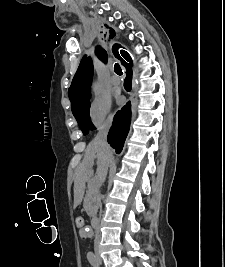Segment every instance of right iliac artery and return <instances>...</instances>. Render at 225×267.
<instances>
[{
  "mask_svg": "<svg viewBox=\"0 0 225 267\" xmlns=\"http://www.w3.org/2000/svg\"><path fill=\"white\" fill-rule=\"evenodd\" d=\"M87 259L93 267H99V263L93 252H88Z\"/></svg>",
  "mask_w": 225,
  "mask_h": 267,
  "instance_id": "82829eb1",
  "label": "right iliac artery"
}]
</instances>
